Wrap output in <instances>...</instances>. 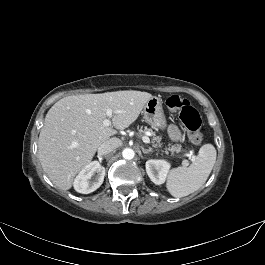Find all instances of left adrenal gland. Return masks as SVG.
<instances>
[{"instance_id":"a2214340","label":"left adrenal gland","mask_w":265,"mask_h":265,"mask_svg":"<svg viewBox=\"0 0 265 265\" xmlns=\"http://www.w3.org/2000/svg\"><path fill=\"white\" fill-rule=\"evenodd\" d=\"M142 152H143L144 154H147V153L152 152V149H151V148H149V149H144V148H142Z\"/></svg>"}]
</instances>
